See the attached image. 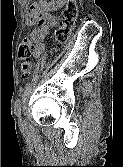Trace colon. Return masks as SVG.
Instances as JSON below:
<instances>
[{
  "label": "colon",
  "instance_id": "obj_1",
  "mask_svg": "<svg viewBox=\"0 0 123 167\" xmlns=\"http://www.w3.org/2000/svg\"><path fill=\"white\" fill-rule=\"evenodd\" d=\"M78 13L75 0H70L62 13L60 24L56 30L55 43L58 47L64 46L70 40ZM31 49L32 44L28 38H24L18 47L19 58L23 60L21 70L24 77H29L33 73V62L29 58Z\"/></svg>",
  "mask_w": 123,
  "mask_h": 167
}]
</instances>
